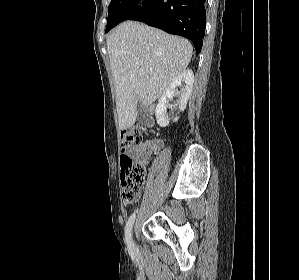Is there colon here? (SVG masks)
<instances>
[{
	"label": "colon",
	"mask_w": 299,
	"mask_h": 280,
	"mask_svg": "<svg viewBox=\"0 0 299 280\" xmlns=\"http://www.w3.org/2000/svg\"><path fill=\"white\" fill-rule=\"evenodd\" d=\"M143 131L131 127L121 134L122 154L120 157V179L123 201L131 205L136 202L145 180L146 161L133 159L129 150L143 143Z\"/></svg>",
	"instance_id": "colon-1"
}]
</instances>
